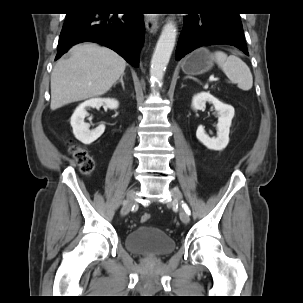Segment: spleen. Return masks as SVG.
Masks as SVG:
<instances>
[{"mask_svg":"<svg viewBox=\"0 0 303 303\" xmlns=\"http://www.w3.org/2000/svg\"><path fill=\"white\" fill-rule=\"evenodd\" d=\"M214 58L218 66L226 76L244 91H248L253 86V77L249 67L239 57L235 55L227 56L222 51H216Z\"/></svg>","mask_w":303,"mask_h":303,"instance_id":"3e777b00","label":"spleen"}]
</instances>
